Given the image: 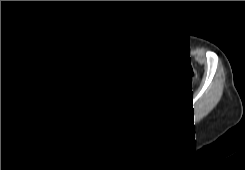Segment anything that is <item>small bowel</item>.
<instances>
[{
  "instance_id": "c3829d8e",
  "label": "small bowel",
  "mask_w": 245,
  "mask_h": 170,
  "mask_svg": "<svg viewBox=\"0 0 245 170\" xmlns=\"http://www.w3.org/2000/svg\"><path fill=\"white\" fill-rule=\"evenodd\" d=\"M163 78L165 80H167L168 79V75L166 73H163ZM125 96H126V92L124 90H117V92L115 94L116 100L123 99Z\"/></svg>"
}]
</instances>
